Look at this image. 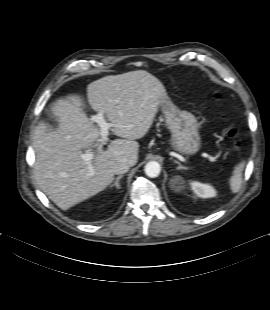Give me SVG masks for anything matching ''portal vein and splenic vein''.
Returning a JSON list of instances; mask_svg holds the SVG:
<instances>
[{"label":"portal vein and splenic vein","instance_id":"1","mask_svg":"<svg viewBox=\"0 0 270 310\" xmlns=\"http://www.w3.org/2000/svg\"><path fill=\"white\" fill-rule=\"evenodd\" d=\"M92 120L96 122L100 126V134H101V139L99 140L98 143V148L102 149L103 145L106 144L108 140V135H109V129L113 127V124L107 123L106 120L104 119V112L100 111L98 112L97 115L92 117ZM204 157L208 158L211 162L215 161V157H212L208 154H203ZM81 159L86 161L88 164H90L91 160L94 157V154L92 152H86L80 155Z\"/></svg>","mask_w":270,"mask_h":310}]
</instances>
